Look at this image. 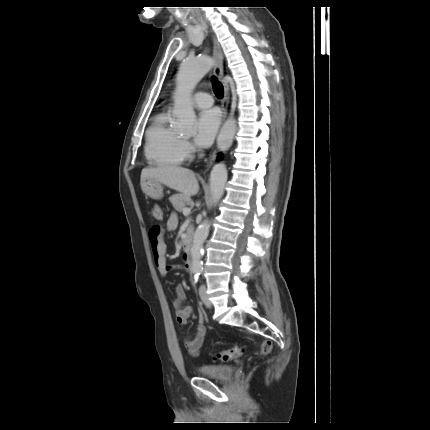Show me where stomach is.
<instances>
[{
	"instance_id": "stomach-1",
	"label": "stomach",
	"mask_w": 430,
	"mask_h": 430,
	"mask_svg": "<svg viewBox=\"0 0 430 430\" xmlns=\"http://www.w3.org/2000/svg\"><path fill=\"white\" fill-rule=\"evenodd\" d=\"M142 192L152 199H160L163 196V183L156 179L147 178L141 182Z\"/></svg>"
}]
</instances>
